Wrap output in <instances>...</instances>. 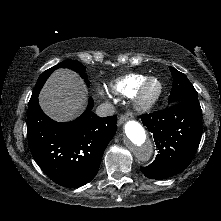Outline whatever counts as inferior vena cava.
<instances>
[{
  "label": "inferior vena cava",
  "mask_w": 221,
  "mask_h": 221,
  "mask_svg": "<svg viewBox=\"0 0 221 221\" xmlns=\"http://www.w3.org/2000/svg\"><path fill=\"white\" fill-rule=\"evenodd\" d=\"M115 113V108L111 103H103L100 104L97 108H96V114L99 117H106V116H112Z\"/></svg>",
  "instance_id": "1"
}]
</instances>
